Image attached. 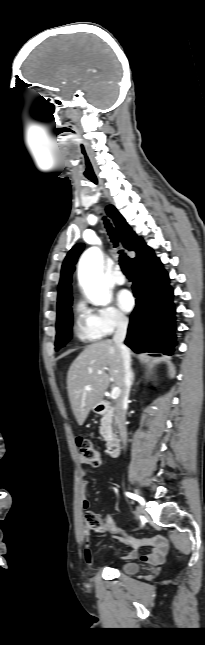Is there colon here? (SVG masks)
<instances>
[{
	"label": "colon",
	"instance_id": "obj_1",
	"mask_svg": "<svg viewBox=\"0 0 205 645\" xmlns=\"http://www.w3.org/2000/svg\"><path fill=\"white\" fill-rule=\"evenodd\" d=\"M77 446L81 453L82 458L87 462V464L97 467L102 464V455L94 447L93 443L86 438L78 437ZM85 523L90 530L101 532L105 529V526L97 514L91 511H87L85 514Z\"/></svg>",
	"mask_w": 205,
	"mask_h": 645
}]
</instances>
